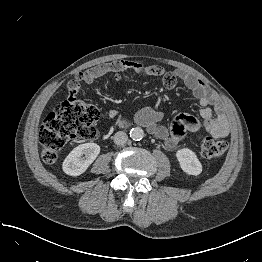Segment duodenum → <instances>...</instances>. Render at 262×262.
<instances>
[{"label": "duodenum", "mask_w": 262, "mask_h": 262, "mask_svg": "<svg viewBox=\"0 0 262 262\" xmlns=\"http://www.w3.org/2000/svg\"><path fill=\"white\" fill-rule=\"evenodd\" d=\"M127 124H128V123H127L126 121H124V120L120 122V126H121V127H125Z\"/></svg>", "instance_id": "1"}]
</instances>
